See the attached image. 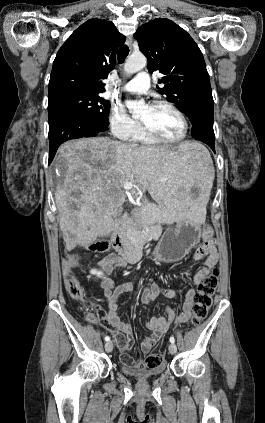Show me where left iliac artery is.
Segmentation results:
<instances>
[{
  "label": "left iliac artery",
  "instance_id": "obj_1",
  "mask_svg": "<svg viewBox=\"0 0 265 423\" xmlns=\"http://www.w3.org/2000/svg\"><path fill=\"white\" fill-rule=\"evenodd\" d=\"M170 342H171V343H174V342H175L174 337H170Z\"/></svg>",
  "mask_w": 265,
  "mask_h": 423
}]
</instances>
